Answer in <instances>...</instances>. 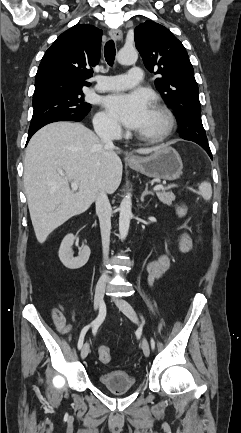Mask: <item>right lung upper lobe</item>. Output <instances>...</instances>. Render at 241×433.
<instances>
[{"mask_svg": "<svg viewBox=\"0 0 241 433\" xmlns=\"http://www.w3.org/2000/svg\"><path fill=\"white\" fill-rule=\"evenodd\" d=\"M102 30L77 24L62 33L45 52L35 78L33 97L53 92H79L89 86L98 63Z\"/></svg>", "mask_w": 241, "mask_h": 433, "instance_id": "right-lung-upper-lobe-1", "label": "right lung upper lobe"}]
</instances>
